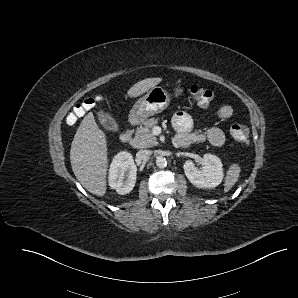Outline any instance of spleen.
<instances>
[{
    "mask_svg": "<svg viewBox=\"0 0 298 298\" xmlns=\"http://www.w3.org/2000/svg\"><path fill=\"white\" fill-rule=\"evenodd\" d=\"M240 172L241 168L238 164H232L229 167L224 180V192H228L234 186L239 179Z\"/></svg>",
    "mask_w": 298,
    "mask_h": 298,
    "instance_id": "1",
    "label": "spleen"
}]
</instances>
